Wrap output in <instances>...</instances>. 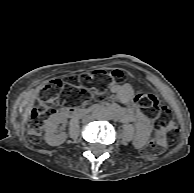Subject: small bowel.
<instances>
[{"mask_svg": "<svg viewBox=\"0 0 194 193\" xmlns=\"http://www.w3.org/2000/svg\"><path fill=\"white\" fill-rule=\"evenodd\" d=\"M111 91L125 105L120 111L122 120L130 121L136 127V144L143 145L149 137L151 123L139 109L132 87L129 84H113Z\"/></svg>", "mask_w": 194, "mask_h": 193, "instance_id": "small-bowel-1", "label": "small bowel"}]
</instances>
